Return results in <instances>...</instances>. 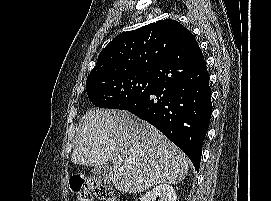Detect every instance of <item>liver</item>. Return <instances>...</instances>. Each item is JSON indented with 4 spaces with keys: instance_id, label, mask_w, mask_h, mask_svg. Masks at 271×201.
I'll use <instances>...</instances> for the list:
<instances>
[{
    "instance_id": "obj_1",
    "label": "liver",
    "mask_w": 271,
    "mask_h": 201,
    "mask_svg": "<svg viewBox=\"0 0 271 201\" xmlns=\"http://www.w3.org/2000/svg\"><path fill=\"white\" fill-rule=\"evenodd\" d=\"M108 160L114 187L125 193L176 184L189 169L187 156L149 123L127 111L89 110L79 126L71 162L96 167Z\"/></svg>"
}]
</instances>
